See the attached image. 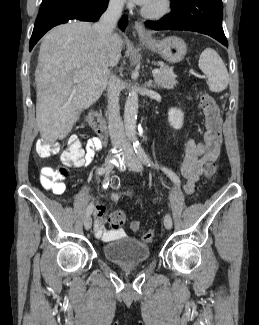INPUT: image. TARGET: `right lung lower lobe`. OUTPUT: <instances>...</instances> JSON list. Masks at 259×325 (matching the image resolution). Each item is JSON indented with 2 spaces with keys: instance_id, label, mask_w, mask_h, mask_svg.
I'll return each instance as SVG.
<instances>
[{
  "instance_id": "obj_1",
  "label": "right lung lower lobe",
  "mask_w": 259,
  "mask_h": 325,
  "mask_svg": "<svg viewBox=\"0 0 259 325\" xmlns=\"http://www.w3.org/2000/svg\"><path fill=\"white\" fill-rule=\"evenodd\" d=\"M109 0H51L40 7L30 39L29 51L37 41L51 28L64 24L69 20L97 21L105 12ZM127 18L124 17L119 26L125 30Z\"/></svg>"
}]
</instances>
